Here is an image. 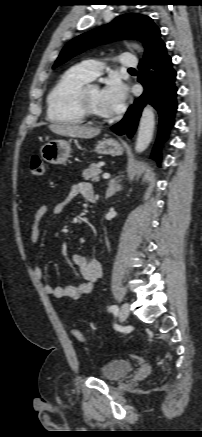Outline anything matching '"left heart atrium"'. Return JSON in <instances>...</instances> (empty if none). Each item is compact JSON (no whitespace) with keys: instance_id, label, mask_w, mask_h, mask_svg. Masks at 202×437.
Listing matches in <instances>:
<instances>
[{"instance_id":"39dd6f15","label":"left heart atrium","mask_w":202,"mask_h":437,"mask_svg":"<svg viewBox=\"0 0 202 437\" xmlns=\"http://www.w3.org/2000/svg\"><path fill=\"white\" fill-rule=\"evenodd\" d=\"M128 90L118 78H110L102 89V100L106 111L110 114L119 113L127 99Z\"/></svg>"}]
</instances>
